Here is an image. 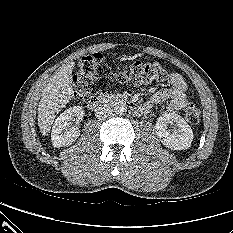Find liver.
I'll use <instances>...</instances> for the list:
<instances>
[{"instance_id":"6515ba94","label":"liver","mask_w":233,"mask_h":233,"mask_svg":"<svg viewBox=\"0 0 233 233\" xmlns=\"http://www.w3.org/2000/svg\"><path fill=\"white\" fill-rule=\"evenodd\" d=\"M75 63L60 67L47 84L38 106V126L45 136L51 129L56 115L73 97L72 70Z\"/></svg>"}]
</instances>
